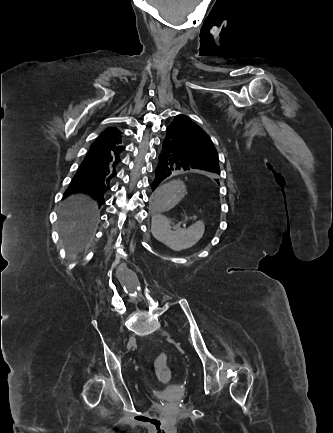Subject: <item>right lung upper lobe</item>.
Returning a JSON list of instances; mask_svg holds the SVG:
<instances>
[{
    "label": "right lung upper lobe",
    "mask_w": 333,
    "mask_h": 433,
    "mask_svg": "<svg viewBox=\"0 0 333 433\" xmlns=\"http://www.w3.org/2000/svg\"><path fill=\"white\" fill-rule=\"evenodd\" d=\"M102 145L117 146L122 143L121 132L117 128L106 129L96 140Z\"/></svg>",
    "instance_id": "cb5924a9"
}]
</instances>
